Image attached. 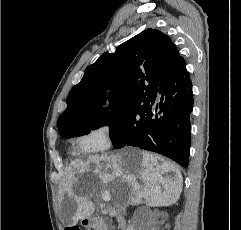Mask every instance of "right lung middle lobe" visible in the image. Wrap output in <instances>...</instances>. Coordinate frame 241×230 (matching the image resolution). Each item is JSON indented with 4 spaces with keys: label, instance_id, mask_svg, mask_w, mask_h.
Here are the masks:
<instances>
[{
    "label": "right lung middle lobe",
    "instance_id": "dd1d6c3e",
    "mask_svg": "<svg viewBox=\"0 0 241 230\" xmlns=\"http://www.w3.org/2000/svg\"><path fill=\"white\" fill-rule=\"evenodd\" d=\"M149 103L150 100L137 107L114 109L104 118L79 123L60 134L63 137L71 138L87 134L91 129L109 125L113 146L119 145L130 134L140 131L148 122L147 109Z\"/></svg>",
    "mask_w": 241,
    "mask_h": 230
}]
</instances>
